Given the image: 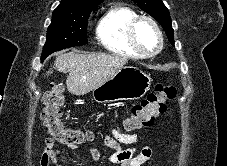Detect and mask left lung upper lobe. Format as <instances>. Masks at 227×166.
<instances>
[{
  "label": "left lung upper lobe",
  "instance_id": "left-lung-upper-lobe-1",
  "mask_svg": "<svg viewBox=\"0 0 227 166\" xmlns=\"http://www.w3.org/2000/svg\"><path fill=\"white\" fill-rule=\"evenodd\" d=\"M144 12L154 17L163 27L171 44L174 45L172 21L169 11L161 0H133Z\"/></svg>",
  "mask_w": 227,
  "mask_h": 166
}]
</instances>
